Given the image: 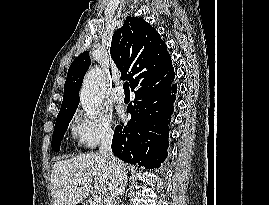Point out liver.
I'll list each match as a JSON object with an SVG mask.
<instances>
[{"instance_id": "liver-1", "label": "liver", "mask_w": 269, "mask_h": 205, "mask_svg": "<svg viewBox=\"0 0 269 205\" xmlns=\"http://www.w3.org/2000/svg\"><path fill=\"white\" fill-rule=\"evenodd\" d=\"M95 178L94 190L105 199L112 178L106 160L97 152L80 154L66 160H58L52 166L51 184L53 205H76L81 203L91 190L90 184L78 186L76 179Z\"/></svg>"}]
</instances>
